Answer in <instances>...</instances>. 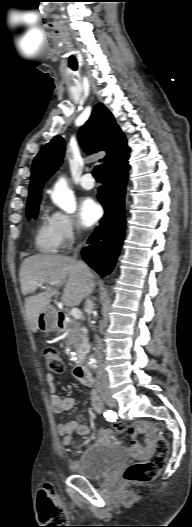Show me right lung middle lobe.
Here are the masks:
<instances>
[{"label": "right lung middle lobe", "instance_id": "1", "mask_svg": "<svg viewBox=\"0 0 192 527\" xmlns=\"http://www.w3.org/2000/svg\"><path fill=\"white\" fill-rule=\"evenodd\" d=\"M38 209H39V202L29 204V206L27 207V217L28 218H30L31 216L34 217Z\"/></svg>", "mask_w": 192, "mask_h": 527}]
</instances>
